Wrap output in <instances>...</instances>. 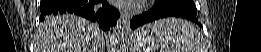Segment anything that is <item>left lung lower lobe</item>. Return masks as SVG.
I'll use <instances>...</instances> for the list:
<instances>
[{
    "mask_svg": "<svg viewBox=\"0 0 261 52\" xmlns=\"http://www.w3.org/2000/svg\"><path fill=\"white\" fill-rule=\"evenodd\" d=\"M171 16L186 18L197 24L199 23L196 7L183 2L165 3L158 1L157 5L150 11L133 16L130 27L136 29L146 23Z\"/></svg>",
    "mask_w": 261,
    "mask_h": 52,
    "instance_id": "1",
    "label": "left lung lower lobe"
}]
</instances>
